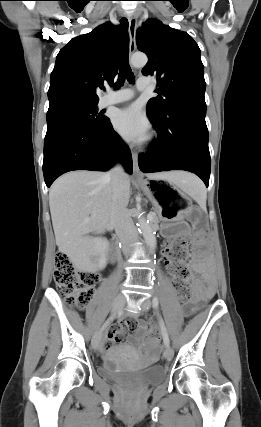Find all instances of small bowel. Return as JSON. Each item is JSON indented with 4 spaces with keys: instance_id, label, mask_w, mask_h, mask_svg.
<instances>
[{
    "instance_id": "c3829d8e",
    "label": "small bowel",
    "mask_w": 261,
    "mask_h": 427,
    "mask_svg": "<svg viewBox=\"0 0 261 427\" xmlns=\"http://www.w3.org/2000/svg\"><path fill=\"white\" fill-rule=\"evenodd\" d=\"M165 250L164 259L166 266H168ZM197 268L200 270L201 266H197ZM204 280L206 282L205 287H203L201 283H195L193 286L194 299L191 303L185 306V313L187 315H191L193 312H195L199 308L200 304L210 298L214 293L215 285L211 277L209 275H205ZM141 324L142 323L139 319H131L128 321L119 322V324L113 329L111 334L108 336L107 340L104 343V346L106 348H110L113 345L117 344L118 342H120V337L128 331L130 334H136L130 335L128 337V343L133 350V354L137 355V348L143 346L145 347L150 360H157L159 354V338H149L148 341L142 343L140 338L141 334L138 333Z\"/></svg>"
}]
</instances>
